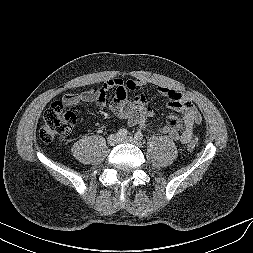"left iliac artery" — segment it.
Listing matches in <instances>:
<instances>
[{
	"mask_svg": "<svg viewBox=\"0 0 253 253\" xmlns=\"http://www.w3.org/2000/svg\"><path fill=\"white\" fill-rule=\"evenodd\" d=\"M136 140L142 141L143 140V134L141 132L135 133Z\"/></svg>",
	"mask_w": 253,
	"mask_h": 253,
	"instance_id": "obj_1",
	"label": "left iliac artery"
}]
</instances>
